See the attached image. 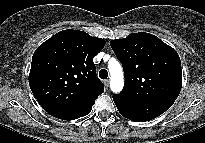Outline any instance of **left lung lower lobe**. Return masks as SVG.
Wrapping results in <instances>:
<instances>
[{"mask_svg": "<svg viewBox=\"0 0 205 143\" xmlns=\"http://www.w3.org/2000/svg\"><path fill=\"white\" fill-rule=\"evenodd\" d=\"M113 100L121 115L135 122L152 120L168 110L174 103L173 100H161L135 104L126 102L115 95L113 96Z\"/></svg>", "mask_w": 205, "mask_h": 143, "instance_id": "1", "label": "left lung lower lobe"}]
</instances>
